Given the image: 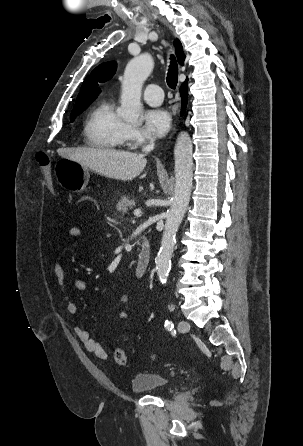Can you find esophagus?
<instances>
[{
    "label": "esophagus",
    "mask_w": 303,
    "mask_h": 446,
    "mask_svg": "<svg viewBox=\"0 0 303 446\" xmlns=\"http://www.w3.org/2000/svg\"><path fill=\"white\" fill-rule=\"evenodd\" d=\"M174 131H175V125H174V127H173V129H172V132H171V134H170V137L173 135Z\"/></svg>",
    "instance_id": "obj_1"
}]
</instances>
